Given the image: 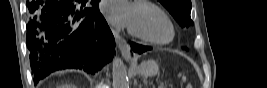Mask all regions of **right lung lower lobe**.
Instances as JSON below:
<instances>
[{"label":"right lung lower lobe","mask_w":267,"mask_h":88,"mask_svg":"<svg viewBox=\"0 0 267 88\" xmlns=\"http://www.w3.org/2000/svg\"><path fill=\"white\" fill-rule=\"evenodd\" d=\"M75 2H28L26 45L36 83L61 69H83L94 74L114 55V37L99 12V0L91 2L93 13L91 9L78 10Z\"/></svg>","instance_id":"1"}]
</instances>
